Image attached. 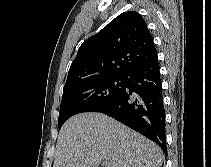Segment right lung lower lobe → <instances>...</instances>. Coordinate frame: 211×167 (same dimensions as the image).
Here are the masks:
<instances>
[{"mask_svg": "<svg viewBox=\"0 0 211 167\" xmlns=\"http://www.w3.org/2000/svg\"><path fill=\"white\" fill-rule=\"evenodd\" d=\"M125 89L95 112L104 113L157 143L166 153L165 110L157 56L126 73Z\"/></svg>", "mask_w": 211, "mask_h": 167, "instance_id": "98d812e1", "label": "right lung lower lobe"}]
</instances>
